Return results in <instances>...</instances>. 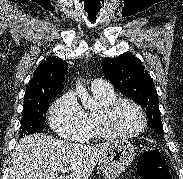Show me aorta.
Segmentation results:
<instances>
[{"label": "aorta", "instance_id": "aorta-1", "mask_svg": "<svg viewBox=\"0 0 183 179\" xmlns=\"http://www.w3.org/2000/svg\"><path fill=\"white\" fill-rule=\"evenodd\" d=\"M76 92L84 108L93 109L96 107V101L92 97H90L87 89L83 86L82 83L78 82L76 84Z\"/></svg>", "mask_w": 183, "mask_h": 179}]
</instances>
